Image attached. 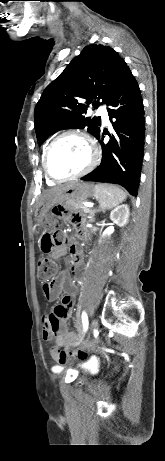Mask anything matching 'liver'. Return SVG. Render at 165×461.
I'll return each instance as SVG.
<instances>
[{
  "instance_id": "1",
  "label": "liver",
  "mask_w": 165,
  "mask_h": 461,
  "mask_svg": "<svg viewBox=\"0 0 165 461\" xmlns=\"http://www.w3.org/2000/svg\"><path fill=\"white\" fill-rule=\"evenodd\" d=\"M59 188H55V189H52L49 191V193H52V192H55L56 190H58Z\"/></svg>"
}]
</instances>
